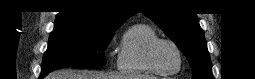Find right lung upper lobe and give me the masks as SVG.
<instances>
[{"mask_svg":"<svg viewBox=\"0 0 255 79\" xmlns=\"http://www.w3.org/2000/svg\"><path fill=\"white\" fill-rule=\"evenodd\" d=\"M66 9L56 16L55 26L115 30L132 13L98 0L71 1Z\"/></svg>","mask_w":255,"mask_h":79,"instance_id":"cb5924a9","label":"right lung upper lobe"}]
</instances>
